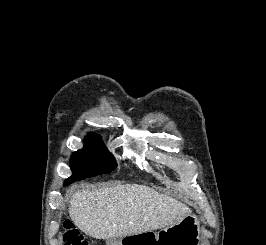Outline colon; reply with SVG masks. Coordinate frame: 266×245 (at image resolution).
<instances>
[{
	"label": "colon",
	"instance_id": "1",
	"mask_svg": "<svg viewBox=\"0 0 266 245\" xmlns=\"http://www.w3.org/2000/svg\"><path fill=\"white\" fill-rule=\"evenodd\" d=\"M64 245H89L85 238L79 233L72 221L65 220L63 224Z\"/></svg>",
	"mask_w": 266,
	"mask_h": 245
}]
</instances>
